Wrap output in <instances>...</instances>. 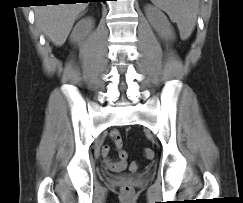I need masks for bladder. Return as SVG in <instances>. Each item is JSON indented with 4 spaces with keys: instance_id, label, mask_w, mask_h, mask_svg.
Returning <instances> with one entry per match:
<instances>
[{
    "instance_id": "bladder-1",
    "label": "bladder",
    "mask_w": 243,
    "mask_h": 203,
    "mask_svg": "<svg viewBox=\"0 0 243 203\" xmlns=\"http://www.w3.org/2000/svg\"><path fill=\"white\" fill-rule=\"evenodd\" d=\"M144 175V173H139L137 175H126V176H120V178H129V179H134V178H138V177H142Z\"/></svg>"
}]
</instances>
